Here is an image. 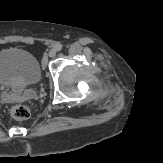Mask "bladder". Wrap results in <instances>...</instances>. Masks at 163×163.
<instances>
[{"label": "bladder", "instance_id": "31cf9c89", "mask_svg": "<svg viewBox=\"0 0 163 163\" xmlns=\"http://www.w3.org/2000/svg\"><path fill=\"white\" fill-rule=\"evenodd\" d=\"M40 78V64L33 54L17 48L0 51V85L22 90L35 85Z\"/></svg>", "mask_w": 163, "mask_h": 163}]
</instances>
